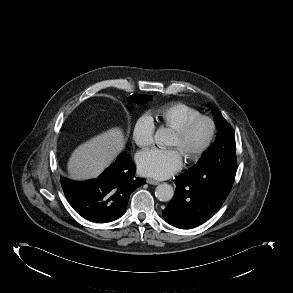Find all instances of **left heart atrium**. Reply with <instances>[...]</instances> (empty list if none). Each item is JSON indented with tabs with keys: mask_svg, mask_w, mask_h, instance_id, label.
<instances>
[{
	"mask_svg": "<svg viewBox=\"0 0 293 293\" xmlns=\"http://www.w3.org/2000/svg\"><path fill=\"white\" fill-rule=\"evenodd\" d=\"M183 159L179 149H151L138 156L139 171L155 179H166L182 168Z\"/></svg>",
	"mask_w": 293,
	"mask_h": 293,
	"instance_id": "obj_1",
	"label": "left heart atrium"
}]
</instances>
